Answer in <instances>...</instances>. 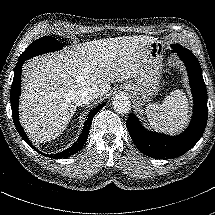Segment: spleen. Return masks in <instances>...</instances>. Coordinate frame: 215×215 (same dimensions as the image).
<instances>
[{
	"label": "spleen",
	"instance_id": "1",
	"mask_svg": "<svg viewBox=\"0 0 215 215\" xmlns=\"http://www.w3.org/2000/svg\"><path fill=\"white\" fill-rule=\"evenodd\" d=\"M145 114L155 131L175 135L189 122V101L181 90H175L164 99L162 104H148Z\"/></svg>",
	"mask_w": 215,
	"mask_h": 215
}]
</instances>
